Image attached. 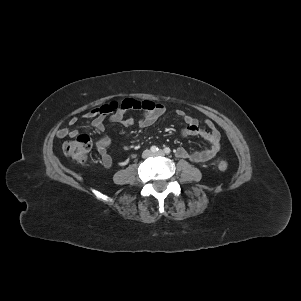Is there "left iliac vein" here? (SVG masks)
<instances>
[{
	"label": "left iliac vein",
	"instance_id": "left-iliac-vein-1",
	"mask_svg": "<svg viewBox=\"0 0 301 301\" xmlns=\"http://www.w3.org/2000/svg\"><path fill=\"white\" fill-rule=\"evenodd\" d=\"M154 155H157V156H164L165 155V152L163 150H159L158 152H156Z\"/></svg>",
	"mask_w": 301,
	"mask_h": 301
}]
</instances>
